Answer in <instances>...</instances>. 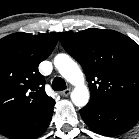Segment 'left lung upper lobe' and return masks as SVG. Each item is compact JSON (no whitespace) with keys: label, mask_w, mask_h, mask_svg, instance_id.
I'll use <instances>...</instances> for the list:
<instances>
[{"label":"left lung upper lobe","mask_w":139,"mask_h":139,"mask_svg":"<svg viewBox=\"0 0 139 139\" xmlns=\"http://www.w3.org/2000/svg\"><path fill=\"white\" fill-rule=\"evenodd\" d=\"M64 49L84 69L89 105L115 107L139 102V45L129 37L104 29L60 32Z\"/></svg>","instance_id":"obj_1"}]
</instances>
